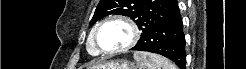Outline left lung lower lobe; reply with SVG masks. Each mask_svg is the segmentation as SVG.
Listing matches in <instances>:
<instances>
[{"mask_svg":"<svg viewBox=\"0 0 246 69\" xmlns=\"http://www.w3.org/2000/svg\"><path fill=\"white\" fill-rule=\"evenodd\" d=\"M131 50L163 55L185 69V37L180 9L145 30Z\"/></svg>","mask_w":246,"mask_h":69,"instance_id":"left-lung-lower-lobe-1","label":"left lung lower lobe"}]
</instances>
